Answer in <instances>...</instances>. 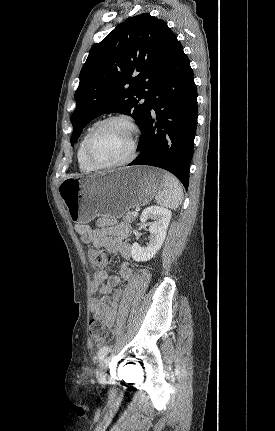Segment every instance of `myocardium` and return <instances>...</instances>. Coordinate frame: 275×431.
Instances as JSON below:
<instances>
[{
    "mask_svg": "<svg viewBox=\"0 0 275 431\" xmlns=\"http://www.w3.org/2000/svg\"><path fill=\"white\" fill-rule=\"evenodd\" d=\"M111 122H121L128 127L130 134H131L130 152L125 159H123L119 162L111 163V164L97 163L91 158V155H90L91 142H92L94 136L98 133V131L102 127H104L105 125H107ZM137 147H138V129H137L136 125L133 123V121L130 118H128L124 115H114V116H110V117H107V118L100 120L99 122H97L92 127V129L89 131V133L85 139L83 151H84V157H85L86 162L92 168H94L95 170H107V169L120 168V167H123V166L130 164L136 157Z\"/></svg>",
    "mask_w": 275,
    "mask_h": 431,
    "instance_id": "obj_1",
    "label": "myocardium"
}]
</instances>
